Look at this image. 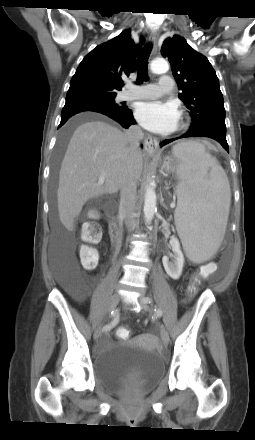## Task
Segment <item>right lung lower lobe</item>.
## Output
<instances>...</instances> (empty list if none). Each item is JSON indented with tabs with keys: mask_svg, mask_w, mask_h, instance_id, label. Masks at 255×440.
Here are the masks:
<instances>
[{
	"mask_svg": "<svg viewBox=\"0 0 255 440\" xmlns=\"http://www.w3.org/2000/svg\"><path fill=\"white\" fill-rule=\"evenodd\" d=\"M87 111L107 115L125 128H128L130 125L136 123L133 118L132 111L126 106H116L105 101L85 98L74 101H66L61 113V122L59 127L64 125L70 117L80 112Z\"/></svg>",
	"mask_w": 255,
	"mask_h": 440,
	"instance_id": "obj_1",
	"label": "right lung lower lobe"
}]
</instances>
